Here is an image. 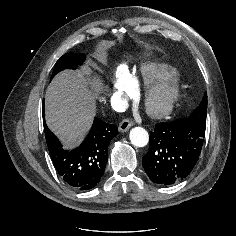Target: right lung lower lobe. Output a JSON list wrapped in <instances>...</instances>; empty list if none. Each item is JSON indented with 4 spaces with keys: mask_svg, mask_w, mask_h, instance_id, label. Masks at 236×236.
Returning a JSON list of instances; mask_svg holds the SVG:
<instances>
[{
    "mask_svg": "<svg viewBox=\"0 0 236 236\" xmlns=\"http://www.w3.org/2000/svg\"><path fill=\"white\" fill-rule=\"evenodd\" d=\"M44 117V101H43ZM44 133L54 167L62 179L77 190H88L101 179L108 160V146L118 134L117 125L95 118L93 126L81 145L65 150L44 122Z\"/></svg>",
    "mask_w": 236,
    "mask_h": 236,
    "instance_id": "right-lung-lower-lobe-1",
    "label": "right lung lower lobe"
}]
</instances>
